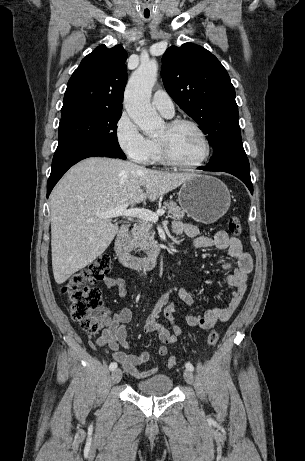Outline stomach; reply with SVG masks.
Segmentation results:
<instances>
[{"instance_id": "stomach-1", "label": "stomach", "mask_w": 305, "mask_h": 461, "mask_svg": "<svg viewBox=\"0 0 305 461\" xmlns=\"http://www.w3.org/2000/svg\"><path fill=\"white\" fill-rule=\"evenodd\" d=\"M178 202L189 217L210 224L226 214L231 196L218 178L196 174L181 186Z\"/></svg>"}]
</instances>
